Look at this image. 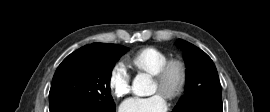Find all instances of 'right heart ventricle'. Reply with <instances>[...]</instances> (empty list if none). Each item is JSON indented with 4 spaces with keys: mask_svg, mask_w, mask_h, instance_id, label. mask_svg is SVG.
<instances>
[{
    "mask_svg": "<svg viewBox=\"0 0 270 112\" xmlns=\"http://www.w3.org/2000/svg\"><path fill=\"white\" fill-rule=\"evenodd\" d=\"M169 60V55L155 47H146L129 57V65L136 71L154 75Z\"/></svg>",
    "mask_w": 270,
    "mask_h": 112,
    "instance_id": "right-heart-ventricle-1",
    "label": "right heart ventricle"
}]
</instances>
